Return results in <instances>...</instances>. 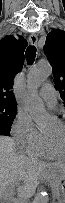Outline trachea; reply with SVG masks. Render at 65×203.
<instances>
[{
	"label": "trachea",
	"mask_w": 65,
	"mask_h": 203,
	"mask_svg": "<svg viewBox=\"0 0 65 203\" xmlns=\"http://www.w3.org/2000/svg\"><path fill=\"white\" fill-rule=\"evenodd\" d=\"M26 59L28 64H32L36 57V47L35 46H28L26 49Z\"/></svg>",
	"instance_id": "1"
}]
</instances>
